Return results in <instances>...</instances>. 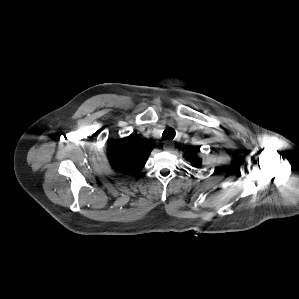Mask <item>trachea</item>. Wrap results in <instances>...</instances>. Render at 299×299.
<instances>
[{"label": "trachea", "instance_id": "1", "mask_svg": "<svg viewBox=\"0 0 299 299\" xmlns=\"http://www.w3.org/2000/svg\"><path fill=\"white\" fill-rule=\"evenodd\" d=\"M175 137V130L173 128H167L162 134V140H172Z\"/></svg>", "mask_w": 299, "mask_h": 299}]
</instances>
